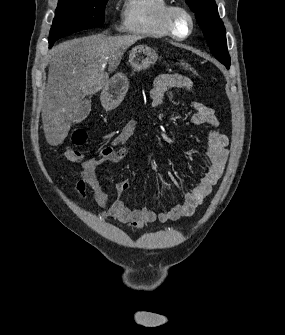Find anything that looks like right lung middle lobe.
Returning a JSON list of instances; mask_svg holds the SVG:
<instances>
[{"label":"right lung middle lobe","instance_id":"dd1d6c3e","mask_svg":"<svg viewBox=\"0 0 285 335\" xmlns=\"http://www.w3.org/2000/svg\"><path fill=\"white\" fill-rule=\"evenodd\" d=\"M107 0H59L50 30L49 46L74 32L104 23Z\"/></svg>","mask_w":285,"mask_h":335}]
</instances>
